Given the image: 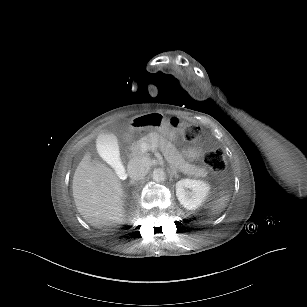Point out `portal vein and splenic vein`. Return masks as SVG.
<instances>
[{
  "instance_id": "portal-vein-and-splenic-vein-1",
  "label": "portal vein and splenic vein",
  "mask_w": 307,
  "mask_h": 307,
  "mask_svg": "<svg viewBox=\"0 0 307 307\" xmlns=\"http://www.w3.org/2000/svg\"><path fill=\"white\" fill-rule=\"evenodd\" d=\"M147 149H151V150H153V151H157L158 145H156V144H154V143H152L150 146H149L148 144H145L144 146H142V147L140 148V151H141L142 153H145V152L147 151Z\"/></svg>"
}]
</instances>
